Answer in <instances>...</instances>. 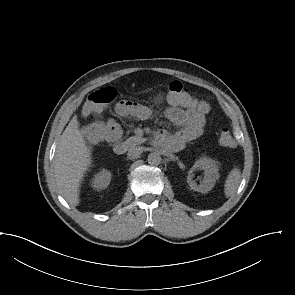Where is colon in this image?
I'll return each mask as SVG.
<instances>
[{
  "label": "colon",
  "mask_w": 295,
  "mask_h": 295,
  "mask_svg": "<svg viewBox=\"0 0 295 295\" xmlns=\"http://www.w3.org/2000/svg\"><path fill=\"white\" fill-rule=\"evenodd\" d=\"M168 96L182 105L194 106L201 112H207L209 109L207 102L192 96L188 89L179 81H173L169 84ZM115 98L116 90L112 87L94 91L85 101L83 113L85 115L101 113ZM105 136L106 130L101 123H93L86 129L87 140L92 145L102 142ZM218 142L221 146L226 148H234L236 146V141L228 129H222L220 131Z\"/></svg>",
  "instance_id": "1"
}]
</instances>
